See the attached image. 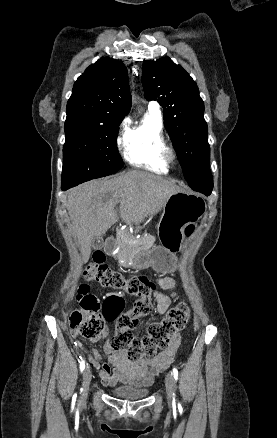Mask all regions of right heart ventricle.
I'll list each match as a JSON object with an SVG mask.
<instances>
[{
	"label": "right heart ventricle",
	"instance_id": "e07e8e85",
	"mask_svg": "<svg viewBox=\"0 0 277 438\" xmlns=\"http://www.w3.org/2000/svg\"><path fill=\"white\" fill-rule=\"evenodd\" d=\"M167 145L159 117L149 112L139 124L127 129L123 138L124 158L136 167H143L158 174H167L168 165L160 157Z\"/></svg>",
	"mask_w": 277,
	"mask_h": 438
}]
</instances>
